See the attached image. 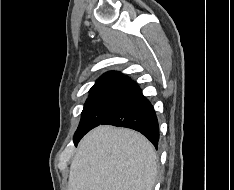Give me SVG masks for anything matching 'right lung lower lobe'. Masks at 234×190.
Instances as JSON below:
<instances>
[{"mask_svg": "<svg viewBox=\"0 0 234 190\" xmlns=\"http://www.w3.org/2000/svg\"><path fill=\"white\" fill-rule=\"evenodd\" d=\"M103 124L134 129L151 141L156 149L158 147L159 125L154 108L130 78L119 99L100 123ZM82 137L74 139L75 145Z\"/></svg>", "mask_w": 234, "mask_h": 190, "instance_id": "1", "label": "right lung lower lobe"}]
</instances>
